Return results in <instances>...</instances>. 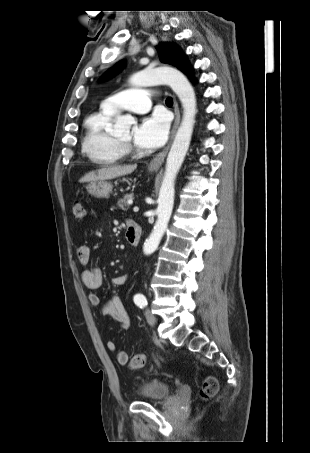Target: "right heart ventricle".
<instances>
[{"label": "right heart ventricle", "mask_w": 310, "mask_h": 453, "mask_svg": "<svg viewBox=\"0 0 310 453\" xmlns=\"http://www.w3.org/2000/svg\"><path fill=\"white\" fill-rule=\"evenodd\" d=\"M112 117L113 112L101 107L85 119L82 153L93 164L111 166L120 163L125 157L124 149L108 131Z\"/></svg>", "instance_id": "obj_1"}]
</instances>
